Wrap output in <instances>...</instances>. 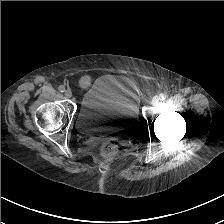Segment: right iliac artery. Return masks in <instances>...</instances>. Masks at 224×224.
Masks as SVG:
<instances>
[{"mask_svg":"<svg viewBox=\"0 0 224 224\" xmlns=\"http://www.w3.org/2000/svg\"><path fill=\"white\" fill-rule=\"evenodd\" d=\"M58 90H59L60 92H65V87H64L63 85H60V86L58 87Z\"/></svg>","mask_w":224,"mask_h":224,"instance_id":"1","label":"right iliac artery"}]
</instances>
